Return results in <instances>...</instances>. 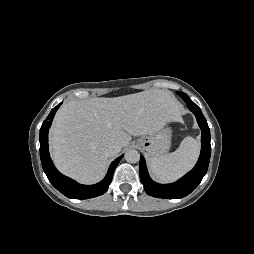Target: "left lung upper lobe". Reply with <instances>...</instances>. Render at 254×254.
Wrapping results in <instances>:
<instances>
[{
	"label": "left lung upper lobe",
	"mask_w": 254,
	"mask_h": 254,
	"mask_svg": "<svg viewBox=\"0 0 254 254\" xmlns=\"http://www.w3.org/2000/svg\"><path fill=\"white\" fill-rule=\"evenodd\" d=\"M178 94L183 98L185 102L191 101V99L183 92H178Z\"/></svg>",
	"instance_id": "obj_1"
}]
</instances>
